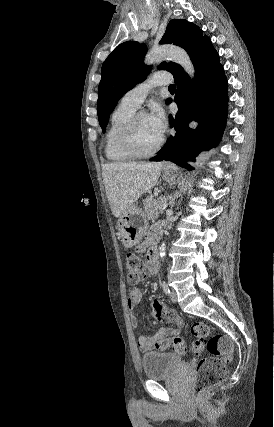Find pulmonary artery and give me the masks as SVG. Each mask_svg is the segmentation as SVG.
I'll return each mask as SVG.
<instances>
[{
    "instance_id": "obj_1",
    "label": "pulmonary artery",
    "mask_w": 274,
    "mask_h": 427,
    "mask_svg": "<svg viewBox=\"0 0 274 427\" xmlns=\"http://www.w3.org/2000/svg\"><path fill=\"white\" fill-rule=\"evenodd\" d=\"M172 81L173 80L170 77H158L157 74H153L149 76L148 79L139 83L132 90L127 92L122 98L120 105L136 111L141 107L146 96L153 88L160 85L170 84Z\"/></svg>"
}]
</instances>
